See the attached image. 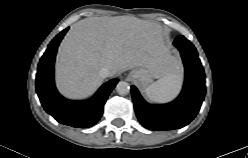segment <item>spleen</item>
<instances>
[{
  "label": "spleen",
  "mask_w": 248,
  "mask_h": 158,
  "mask_svg": "<svg viewBox=\"0 0 248 158\" xmlns=\"http://www.w3.org/2000/svg\"><path fill=\"white\" fill-rule=\"evenodd\" d=\"M181 85L182 72L179 69H174L149 85L145 89V95L152 102H167L179 93Z\"/></svg>",
  "instance_id": "obj_1"
}]
</instances>
